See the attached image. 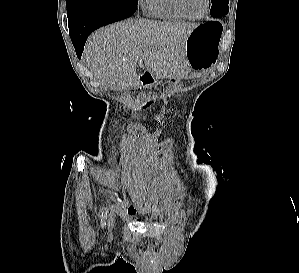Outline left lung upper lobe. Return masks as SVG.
Segmentation results:
<instances>
[{
  "label": "left lung upper lobe",
  "instance_id": "left-lung-upper-lobe-1",
  "mask_svg": "<svg viewBox=\"0 0 299 273\" xmlns=\"http://www.w3.org/2000/svg\"><path fill=\"white\" fill-rule=\"evenodd\" d=\"M211 16L212 17H222L226 15L229 11L228 0H211Z\"/></svg>",
  "mask_w": 299,
  "mask_h": 273
}]
</instances>
